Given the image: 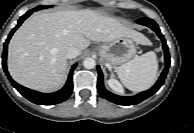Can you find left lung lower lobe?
<instances>
[{
    "mask_svg": "<svg viewBox=\"0 0 194 133\" xmlns=\"http://www.w3.org/2000/svg\"><path fill=\"white\" fill-rule=\"evenodd\" d=\"M136 22L141 24V25H144V26L151 28L153 31H155L157 33L159 38L162 40L163 49L165 52L166 66H165L160 78L158 79L157 83L151 89H149L145 92L139 93L135 96H131V97L117 96V95L112 94L109 91H107L103 85L102 71H101L100 67L98 66V68H97L98 69L97 89H98L99 94L101 95V97H103V98H105L113 103L120 104V105H135V104L142 102L146 98L150 97L154 93H156L158 91V89L163 85L167 71H168L169 66H170V55H169V51H168V46L166 44V41H165L163 35L161 34V32L159 30L157 23L154 20L149 19L147 17L141 18V19L137 20Z\"/></svg>",
    "mask_w": 194,
    "mask_h": 133,
    "instance_id": "1",
    "label": "left lung lower lobe"
}]
</instances>
